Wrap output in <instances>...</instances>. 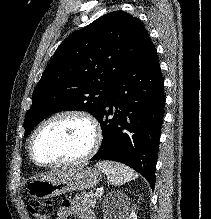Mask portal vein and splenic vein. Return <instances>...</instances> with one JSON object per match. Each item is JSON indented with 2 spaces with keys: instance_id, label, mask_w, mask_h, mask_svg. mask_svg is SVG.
Wrapping results in <instances>:
<instances>
[{
  "instance_id": "18ae733b",
  "label": "portal vein and splenic vein",
  "mask_w": 211,
  "mask_h": 219,
  "mask_svg": "<svg viewBox=\"0 0 211 219\" xmlns=\"http://www.w3.org/2000/svg\"><path fill=\"white\" fill-rule=\"evenodd\" d=\"M101 194H102V191L96 190L95 195H96L97 197L100 196Z\"/></svg>"
}]
</instances>
